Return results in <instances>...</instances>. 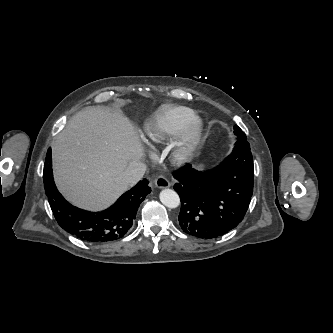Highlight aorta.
<instances>
[{"mask_svg": "<svg viewBox=\"0 0 333 333\" xmlns=\"http://www.w3.org/2000/svg\"><path fill=\"white\" fill-rule=\"evenodd\" d=\"M160 201L168 208H177L180 205L179 195L171 189H164L160 192Z\"/></svg>", "mask_w": 333, "mask_h": 333, "instance_id": "1", "label": "aorta"}]
</instances>
